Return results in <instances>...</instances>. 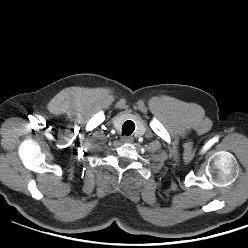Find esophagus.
I'll use <instances>...</instances> for the list:
<instances>
[{
  "label": "esophagus",
  "instance_id": "obj_1",
  "mask_svg": "<svg viewBox=\"0 0 248 248\" xmlns=\"http://www.w3.org/2000/svg\"><path fill=\"white\" fill-rule=\"evenodd\" d=\"M121 140H122L123 143H131L133 141V137H131V136H124V137H122Z\"/></svg>",
  "mask_w": 248,
  "mask_h": 248
}]
</instances>
